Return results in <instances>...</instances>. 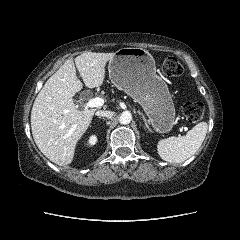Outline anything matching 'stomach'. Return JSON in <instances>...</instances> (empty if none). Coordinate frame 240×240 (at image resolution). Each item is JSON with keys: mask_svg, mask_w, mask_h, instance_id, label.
Listing matches in <instances>:
<instances>
[{"mask_svg": "<svg viewBox=\"0 0 240 240\" xmlns=\"http://www.w3.org/2000/svg\"><path fill=\"white\" fill-rule=\"evenodd\" d=\"M111 82L138 102L153 128L168 133L173 128L175 108L166 83L156 75L153 56L143 48H121L108 64Z\"/></svg>", "mask_w": 240, "mask_h": 240, "instance_id": "stomach-1", "label": "stomach"}]
</instances>
